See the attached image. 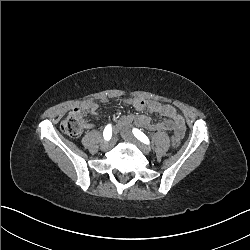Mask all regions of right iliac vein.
<instances>
[{
	"mask_svg": "<svg viewBox=\"0 0 250 250\" xmlns=\"http://www.w3.org/2000/svg\"><path fill=\"white\" fill-rule=\"evenodd\" d=\"M115 141H116L115 138L112 139L111 141H103L101 144V148L102 149H110L115 144Z\"/></svg>",
	"mask_w": 250,
	"mask_h": 250,
	"instance_id": "1",
	"label": "right iliac vein"
}]
</instances>
